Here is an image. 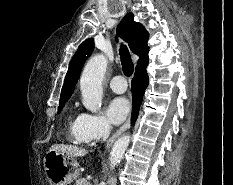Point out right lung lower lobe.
Listing matches in <instances>:
<instances>
[{
	"instance_id": "1",
	"label": "right lung lower lobe",
	"mask_w": 233,
	"mask_h": 185,
	"mask_svg": "<svg viewBox=\"0 0 233 185\" xmlns=\"http://www.w3.org/2000/svg\"><path fill=\"white\" fill-rule=\"evenodd\" d=\"M146 67L147 66L137 68L135 71V75L132 79V96H133L132 123L136 120L138 116L139 107L142 102V96L149 83Z\"/></svg>"
}]
</instances>
